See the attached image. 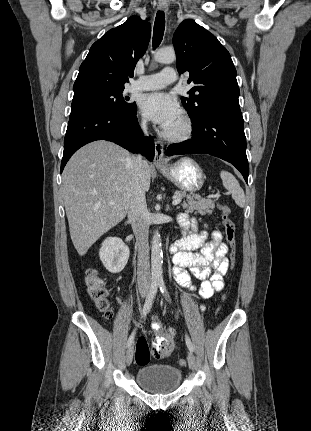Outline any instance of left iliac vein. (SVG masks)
Masks as SVG:
<instances>
[{
    "label": "left iliac vein",
    "instance_id": "4c4485c4",
    "mask_svg": "<svg viewBox=\"0 0 311 431\" xmlns=\"http://www.w3.org/2000/svg\"><path fill=\"white\" fill-rule=\"evenodd\" d=\"M187 359H188V365H189L190 369H194L195 368V357H194L192 352L188 353Z\"/></svg>",
    "mask_w": 311,
    "mask_h": 431
}]
</instances>
